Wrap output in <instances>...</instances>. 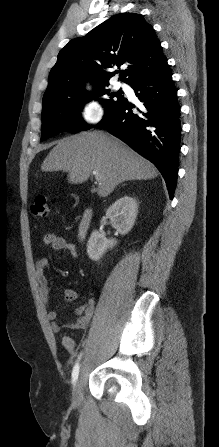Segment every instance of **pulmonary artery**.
Wrapping results in <instances>:
<instances>
[{
    "instance_id": "e3ab8cb5",
    "label": "pulmonary artery",
    "mask_w": 219,
    "mask_h": 447,
    "mask_svg": "<svg viewBox=\"0 0 219 447\" xmlns=\"http://www.w3.org/2000/svg\"><path fill=\"white\" fill-rule=\"evenodd\" d=\"M116 86H117L118 88H123V87H124V84H123L122 82H117Z\"/></svg>"
}]
</instances>
